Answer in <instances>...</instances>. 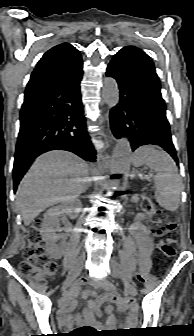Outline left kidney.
<instances>
[{"mask_svg":"<svg viewBox=\"0 0 194 336\" xmlns=\"http://www.w3.org/2000/svg\"><path fill=\"white\" fill-rule=\"evenodd\" d=\"M145 217H146L145 214H143V213H139V214H137L136 219H137V220H143Z\"/></svg>","mask_w":194,"mask_h":336,"instance_id":"1","label":"left kidney"}]
</instances>
